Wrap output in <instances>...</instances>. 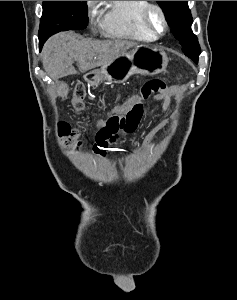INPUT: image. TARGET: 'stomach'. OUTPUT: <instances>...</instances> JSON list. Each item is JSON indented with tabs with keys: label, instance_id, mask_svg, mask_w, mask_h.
Wrapping results in <instances>:
<instances>
[{
	"label": "stomach",
	"instance_id": "stomach-1",
	"mask_svg": "<svg viewBox=\"0 0 237 300\" xmlns=\"http://www.w3.org/2000/svg\"><path fill=\"white\" fill-rule=\"evenodd\" d=\"M169 59L158 47L138 45L129 53H120L110 63L102 65L99 71H94V79L108 83H124L131 75H158L166 71Z\"/></svg>",
	"mask_w": 237,
	"mask_h": 300
}]
</instances>
